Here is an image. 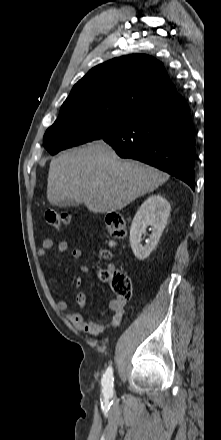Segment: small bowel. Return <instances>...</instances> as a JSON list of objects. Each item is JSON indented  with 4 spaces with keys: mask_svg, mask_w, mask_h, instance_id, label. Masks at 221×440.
I'll list each match as a JSON object with an SVG mask.
<instances>
[{
    "mask_svg": "<svg viewBox=\"0 0 221 440\" xmlns=\"http://www.w3.org/2000/svg\"><path fill=\"white\" fill-rule=\"evenodd\" d=\"M56 247L58 252L63 253L69 249V243L67 241L55 242L52 239H46L43 241L42 247L37 251V255L40 258H47L49 252L53 247ZM71 256L74 260H81L83 253L80 249L75 248L71 250ZM81 275H87L89 273V267L86 265L80 266ZM83 284V277L78 276L75 279V287H80ZM76 304L80 309H83L87 304V295L84 292L77 293L75 297ZM126 304L125 299L114 298L109 303L107 310L101 312L100 317H106L107 315H112L110 322L106 324H101L92 320H86L83 313L73 312L66 314V318L71 322L76 329L85 331L92 336H98L100 333L116 327L123 315L124 306ZM57 307L61 311H67L69 308L68 303L65 300H58Z\"/></svg>",
    "mask_w": 221,
    "mask_h": 440,
    "instance_id": "c3829d8e",
    "label": "small bowel"
}]
</instances>
